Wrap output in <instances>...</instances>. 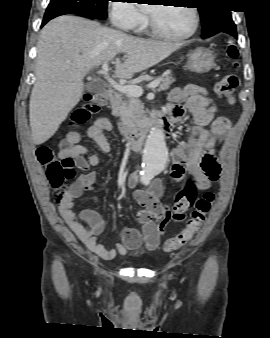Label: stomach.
Masks as SVG:
<instances>
[{
    "label": "stomach",
    "mask_w": 270,
    "mask_h": 338,
    "mask_svg": "<svg viewBox=\"0 0 270 338\" xmlns=\"http://www.w3.org/2000/svg\"><path fill=\"white\" fill-rule=\"evenodd\" d=\"M215 65L213 53L206 48H197L188 58L186 68L195 73H207Z\"/></svg>",
    "instance_id": "1"
}]
</instances>
